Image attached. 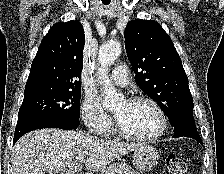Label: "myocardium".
<instances>
[{"instance_id": "1", "label": "myocardium", "mask_w": 224, "mask_h": 174, "mask_svg": "<svg viewBox=\"0 0 224 174\" xmlns=\"http://www.w3.org/2000/svg\"><path fill=\"white\" fill-rule=\"evenodd\" d=\"M129 104H139V103H146L151 105L160 118V127L159 129L151 135L148 136H138L131 134L127 131H125L118 120L116 119V130L120 137L129 140V141H136V142H150L157 140L160 138L167 130L168 127V118L162 107L156 102L154 99L147 97V96H135L131 97L127 100Z\"/></svg>"}]
</instances>
